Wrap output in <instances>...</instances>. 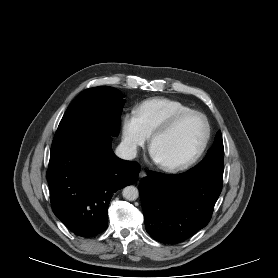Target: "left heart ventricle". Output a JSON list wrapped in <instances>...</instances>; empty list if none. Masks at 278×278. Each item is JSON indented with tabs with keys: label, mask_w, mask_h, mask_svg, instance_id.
<instances>
[{
	"label": "left heart ventricle",
	"mask_w": 278,
	"mask_h": 278,
	"mask_svg": "<svg viewBox=\"0 0 278 278\" xmlns=\"http://www.w3.org/2000/svg\"><path fill=\"white\" fill-rule=\"evenodd\" d=\"M205 135L201 117L190 115L182 119L169 133L159 137L152 151L158 162L173 164L191 157L199 148Z\"/></svg>",
	"instance_id": "left-heart-ventricle-1"
}]
</instances>
